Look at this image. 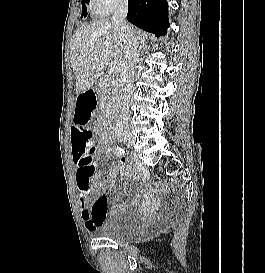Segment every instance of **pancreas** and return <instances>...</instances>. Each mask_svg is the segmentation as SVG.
Listing matches in <instances>:
<instances>
[{
  "mask_svg": "<svg viewBox=\"0 0 265 273\" xmlns=\"http://www.w3.org/2000/svg\"><path fill=\"white\" fill-rule=\"evenodd\" d=\"M118 85V75L105 76L100 79L99 90L101 93V100L104 104V110L111 109L116 97H114Z\"/></svg>",
  "mask_w": 265,
  "mask_h": 273,
  "instance_id": "obj_1",
  "label": "pancreas"
}]
</instances>
